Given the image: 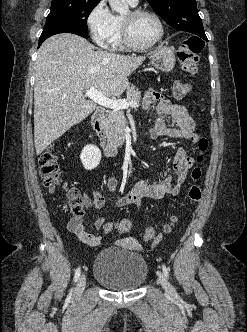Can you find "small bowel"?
I'll return each mask as SVG.
<instances>
[{"mask_svg":"<svg viewBox=\"0 0 247 332\" xmlns=\"http://www.w3.org/2000/svg\"><path fill=\"white\" fill-rule=\"evenodd\" d=\"M143 107L146 113H150L154 108L155 121L150 128L153 138L165 136L179 141H188L197 143L201 138L196 133V123L190 116L187 108L183 105L176 104L163 97L155 90H149L143 98ZM164 117H168L173 126H168L164 122ZM193 165V158L190 157L184 147H179L175 153L172 162V168L175 176H168L161 181H150L142 179L137 181L133 187L125 192L118 193V180L114 176H110L106 180L107 187L111 193L115 195L114 206L118 208L126 206L139 207L145 198L162 199L168 196H176L180 193L183 184L186 181L189 169ZM74 191L81 195L83 204L88 208L96 210L103 209L106 202L103 196L95 191L92 198L77 189ZM104 218H97L93 226L99 229L104 226ZM68 229L81 242L89 246H98L101 243V237L86 230L83 218H73L68 223ZM160 238L158 239V241Z\"/></svg>","mask_w":247,"mask_h":332,"instance_id":"1","label":"small bowel"}]
</instances>
